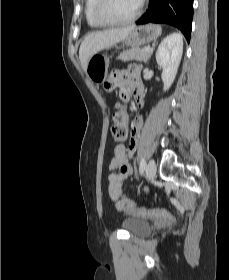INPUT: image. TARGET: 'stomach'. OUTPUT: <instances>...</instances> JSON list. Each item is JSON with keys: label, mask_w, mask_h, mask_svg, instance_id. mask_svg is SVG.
I'll return each mask as SVG.
<instances>
[{"label": "stomach", "mask_w": 229, "mask_h": 280, "mask_svg": "<svg viewBox=\"0 0 229 280\" xmlns=\"http://www.w3.org/2000/svg\"><path fill=\"white\" fill-rule=\"evenodd\" d=\"M161 35V27L154 24L138 26L129 33L123 43L130 47H139L155 41ZM109 59L106 56L93 55L89 58L85 72L95 83H103L108 75Z\"/></svg>", "instance_id": "obj_1"}]
</instances>
